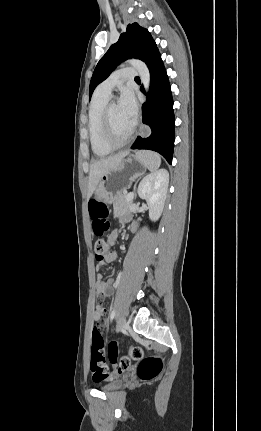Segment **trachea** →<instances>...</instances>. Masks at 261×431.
<instances>
[{
    "label": "trachea",
    "mask_w": 261,
    "mask_h": 431,
    "mask_svg": "<svg viewBox=\"0 0 261 431\" xmlns=\"http://www.w3.org/2000/svg\"><path fill=\"white\" fill-rule=\"evenodd\" d=\"M135 79H136V80H139V77H136Z\"/></svg>",
    "instance_id": "obj_1"
}]
</instances>
